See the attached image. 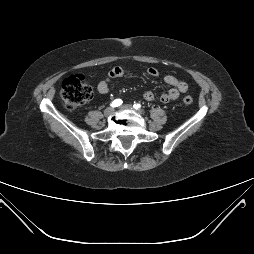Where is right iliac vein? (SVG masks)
I'll list each match as a JSON object with an SVG mask.
<instances>
[{
    "label": "right iliac vein",
    "mask_w": 254,
    "mask_h": 254,
    "mask_svg": "<svg viewBox=\"0 0 254 254\" xmlns=\"http://www.w3.org/2000/svg\"><path fill=\"white\" fill-rule=\"evenodd\" d=\"M113 112H114V108L108 107V108L105 109L104 115L105 116H110L111 114H113Z\"/></svg>",
    "instance_id": "1"
}]
</instances>
